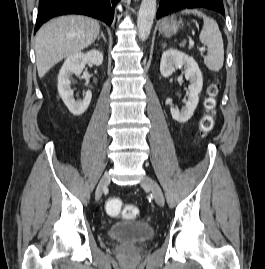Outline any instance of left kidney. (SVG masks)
Here are the masks:
<instances>
[{"mask_svg":"<svg viewBox=\"0 0 265 269\" xmlns=\"http://www.w3.org/2000/svg\"><path fill=\"white\" fill-rule=\"evenodd\" d=\"M175 68H184V76L190 81V85L185 107L181 110L171 107L170 112L174 120L185 123L192 117L198 105L199 94L203 87V77L198 64L192 57L176 49H168L163 52L161 57V75L165 78L169 77Z\"/></svg>","mask_w":265,"mask_h":269,"instance_id":"left-kidney-1","label":"left kidney"}]
</instances>
